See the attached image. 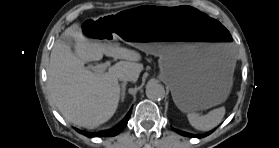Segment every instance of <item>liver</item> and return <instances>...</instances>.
<instances>
[{
    "label": "liver",
    "instance_id": "1",
    "mask_svg": "<svg viewBox=\"0 0 279 148\" xmlns=\"http://www.w3.org/2000/svg\"><path fill=\"white\" fill-rule=\"evenodd\" d=\"M62 36L74 39L75 53L61 39L52 48L47 69L50 97L70 123L95 128L107 122L116 112L120 99V76L136 82L143 70L141 55L118 44H103L86 37L77 24ZM61 36V37H62ZM121 59L108 72L94 73L84 64L99 61L103 55Z\"/></svg>",
    "mask_w": 279,
    "mask_h": 148
}]
</instances>
